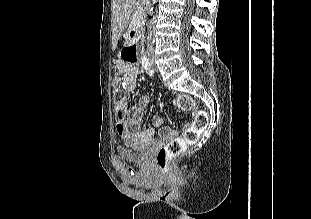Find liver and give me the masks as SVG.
I'll use <instances>...</instances> for the list:
<instances>
[{"mask_svg":"<svg viewBox=\"0 0 311 219\" xmlns=\"http://www.w3.org/2000/svg\"><path fill=\"white\" fill-rule=\"evenodd\" d=\"M135 1L136 0H112V45L114 49L128 23Z\"/></svg>","mask_w":311,"mask_h":219,"instance_id":"1","label":"liver"}]
</instances>
